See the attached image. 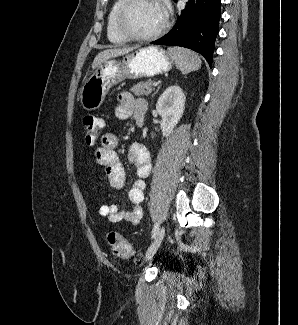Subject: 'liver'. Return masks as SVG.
I'll use <instances>...</instances> for the list:
<instances>
[{
	"label": "liver",
	"mask_w": 298,
	"mask_h": 325,
	"mask_svg": "<svg viewBox=\"0 0 298 325\" xmlns=\"http://www.w3.org/2000/svg\"><path fill=\"white\" fill-rule=\"evenodd\" d=\"M135 48H138V46H129V48H118V46H115V48H105V50H101V52H98V54L94 56L91 68L95 70V68H97L99 64H102V62H105V60L115 58V56H122V54H127V52H131V50H135Z\"/></svg>",
	"instance_id": "liver-1"
}]
</instances>
